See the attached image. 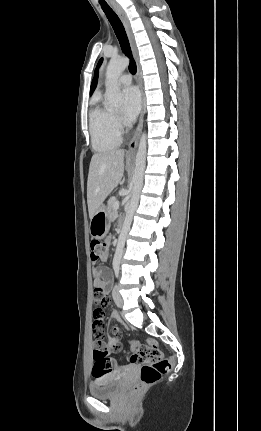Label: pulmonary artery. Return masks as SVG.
<instances>
[{"label":"pulmonary artery","mask_w":261,"mask_h":431,"mask_svg":"<svg viewBox=\"0 0 261 431\" xmlns=\"http://www.w3.org/2000/svg\"><path fill=\"white\" fill-rule=\"evenodd\" d=\"M118 81L121 85H129L132 81V78L129 74H123L119 77Z\"/></svg>","instance_id":"obj_1"}]
</instances>
